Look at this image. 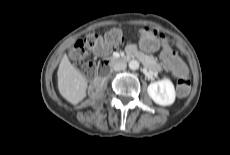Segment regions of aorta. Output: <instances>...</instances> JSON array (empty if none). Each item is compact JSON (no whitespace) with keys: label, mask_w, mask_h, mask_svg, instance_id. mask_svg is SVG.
<instances>
[{"label":"aorta","mask_w":230,"mask_h":155,"mask_svg":"<svg viewBox=\"0 0 230 155\" xmlns=\"http://www.w3.org/2000/svg\"><path fill=\"white\" fill-rule=\"evenodd\" d=\"M129 68L131 70H137L139 68V62L137 60H131L129 62Z\"/></svg>","instance_id":"aorta-1"}]
</instances>
